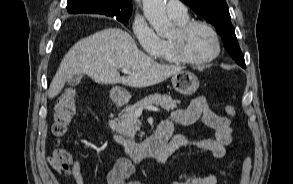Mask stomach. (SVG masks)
<instances>
[{"instance_id": "1", "label": "stomach", "mask_w": 293, "mask_h": 184, "mask_svg": "<svg viewBox=\"0 0 293 184\" xmlns=\"http://www.w3.org/2000/svg\"><path fill=\"white\" fill-rule=\"evenodd\" d=\"M172 85L176 92L182 95H192L199 87V80L192 72L181 71L173 75ZM110 96L114 101L121 102L129 97V93L127 90L116 86L111 90Z\"/></svg>"}]
</instances>
